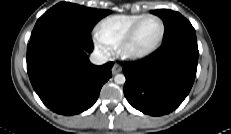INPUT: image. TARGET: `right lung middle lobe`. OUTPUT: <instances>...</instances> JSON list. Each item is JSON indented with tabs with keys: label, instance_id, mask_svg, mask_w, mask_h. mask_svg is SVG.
Here are the masks:
<instances>
[{
	"label": "right lung middle lobe",
	"instance_id": "1",
	"mask_svg": "<svg viewBox=\"0 0 231 134\" xmlns=\"http://www.w3.org/2000/svg\"><path fill=\"white\" fill-rule=\"evenodd\" d=\"M111 12L84 6L60 2L45 12L36 22L33 31L49 24H65L89 34L101 18Z\"/></svg>",
	"mask_w": 231,
	"mask_h": 134
}]
</instances>
